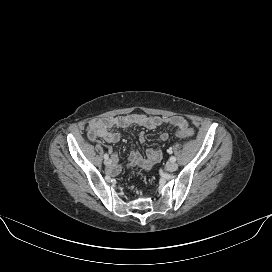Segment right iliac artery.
I'll return each mask as SVG.
<instances>
[{
    "label": "right iliac artery",
    "mask_w": 272,
    "mask_h": 272,
    "mask_svg": "<svg viewBox=\"0 0 272 272\" xmlns=\"http://www.w3.org/2000/svg\"><path fill=\"white\" fill-rule=\"evenodd\" d=\"M109 158V155L107 153L104 154V159L107 160Z\"/></svg>",
    "instance_id": "right-iliac-artery-1"
}]
</instances>
